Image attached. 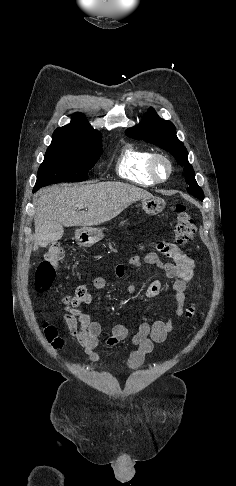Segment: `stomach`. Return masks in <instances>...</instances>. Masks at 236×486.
Listing matches in <instances>:
<instances>
[{
	"mask_svg": "<svg viewBox=\"0 0 236 486\" xmlns=\"http://www.w3.org/2000/svg\"><path fill=\"white\" fill-rule=\"evenodd\" d=\"M165 207V201L159 197H151L142 200V208L148 215H157ZM104 237L99 228L85 226L75 231V239L82 247H91Z\"/></svg>",
	"mask_w": 236,
	"mask_h": 486,
	"instance_id": "obj_1",
	"label": "stomach"
}]
</instances>
